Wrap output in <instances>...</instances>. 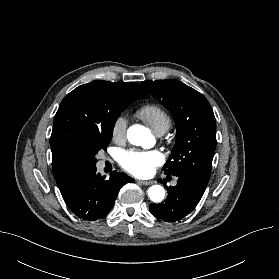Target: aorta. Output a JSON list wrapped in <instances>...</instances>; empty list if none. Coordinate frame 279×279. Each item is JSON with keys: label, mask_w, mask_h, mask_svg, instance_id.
Instances as JSON below:
<instances>
[{"label": "aorta", "mask_w": 279, "mask_h": 279, "mask_svg": "<svg viewBox=\"0 0 279 279\" xmlns=\"http://www.w3.org/2000/svg\"><path fill=\"white\" fill-rule=\"evenodd\" d=\"M127 138L133 145L148 146L151 135L145 127L133 125L127 131ZM147 192L150 200L155 203L161 202L165 197V190L161 185H152Z\"/></svg>", "instance_id": "762f6f07"}]
</instances>
